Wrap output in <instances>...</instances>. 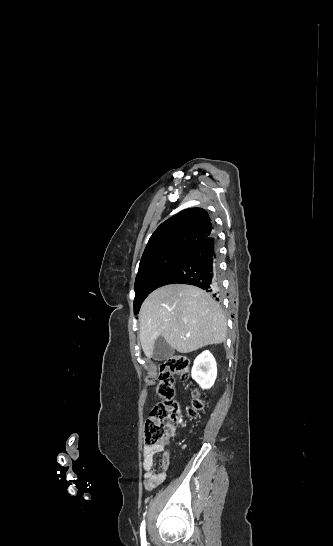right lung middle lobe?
<instances>
[{"instance_id":"dd1d6c3e","label":"right lung middle lobe","mask_w":333,"mask_h":546,"mask_svg":"<svg viewBox=\"0 0 333 546\" xmlns=\"http://www.w3.org/2000/svg\"><path fill=\"white\" fill-rule=\"evenodd\" d=\"M191 248L172 247L154 253L140 261L139 271L135 281L134 313L138 310L144 299L156 289L159 279Z\"/></svg>"}]
</instances>
